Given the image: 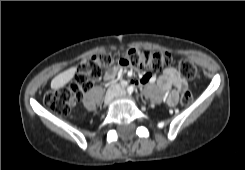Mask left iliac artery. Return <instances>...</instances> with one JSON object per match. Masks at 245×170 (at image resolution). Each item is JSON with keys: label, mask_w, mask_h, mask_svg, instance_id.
Here are the masks:
<instances>
[{"label": "left iliac artery", "mask_w": 245, "mask_h": 170, "mask_svg": "<svg viewBox=\"0 0 245 170\" xmlns=\"http://www.w3.org/2000/svg\"><path fill=\"white\" fill-rule=\"evenodd\" d=\"M133 91H134V87L132 85L127 88L128 94H132Z\"/></svg>", "instance_id": "left-iliac-artery-1"}]
</instances>
